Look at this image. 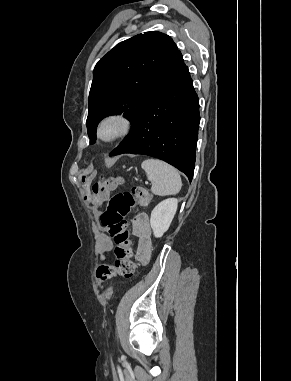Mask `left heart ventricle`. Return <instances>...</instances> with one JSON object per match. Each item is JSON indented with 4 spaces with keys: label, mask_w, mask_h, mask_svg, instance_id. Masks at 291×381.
I'll use <instances>...</instances> for the list:
<instances>
[{
    "label": "left heart ventricle",
    "mask_w": 291,
    "mask_h": 381,
    "mask_svg": "<svg viewBox=\"0 0 291 381\" xmlns=\"http://www.w3.org/2000/svg\"><path fill=\"white\" fill-rule=\"evenodd\" d=\"M114 130H115V126L114 125H108V126H106L104 128L103 133H104L105 136H108V135L112 134Z\"/></svg>",
    "instance_id": "left-heart-ventricle-1"
}]
</instances>
